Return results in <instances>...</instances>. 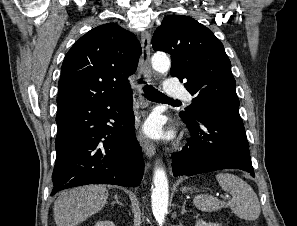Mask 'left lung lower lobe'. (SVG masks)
Here are the masks:
<instances>
[{
    "label": "left lung lower lobe",
    "mask_w": 297,
    "mask_h": 226,
    "mask_svg": "<svg viewBox=\"0 0 297 226\" xmlns=\"http://www.w3.org/2000/svg\"><path fill=\"white\" fill-rule=\"evenodd\" d=\"M192 137L173 155L174 176H191L220 169H241L254 175L249 145L239 113L211 111L184 118Z\"/></svg>",
    "instance_id": "obj_1"
}]
</instances>
